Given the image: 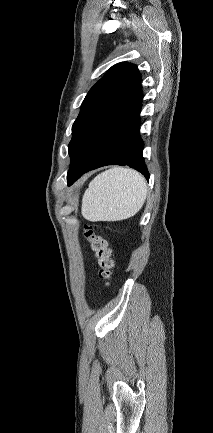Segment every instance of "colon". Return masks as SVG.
<instances>
[{"label":"colon","mask_w":213,"mask_h":433,"mask_svg":"<svg viewBox=\"0 0 213 433\" xmlns=\"http://www.w3.org/2000/svg\"><path fill=\"white\" fill-rule=\"evenodd\" d=\"M84 236L89 242L91 250L94 252L98 267V277L103 280L105 286L108 287L115 266L108 242L102 236L95 234L90 225L84 227Z\"/></svg>","instance_id":"colon-1"}]
</instances>
